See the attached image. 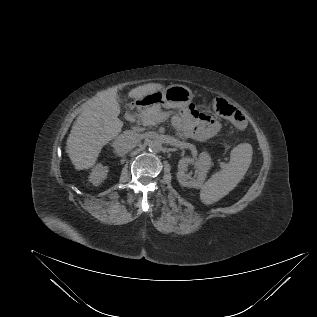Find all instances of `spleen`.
<instances>
[{
  "label": "spleen",
  "instance_id": "spleen-1",
  "mask_svg": "<svg viewBox=\"0 0 317 317\" xmlns=\"http://www.w3.org/2000/svg\"><path fill=\"white\" fill-rule=\"evenodd\" d=\"M252 153L250 144L242 143L237 145L231 151L230 160L226 167L213 174L201 187V201L206 205H210L233 190L248 170Z\"/></svg>",
  "mask_w": 317,
  "mask_h": 317
}]
</instances>
